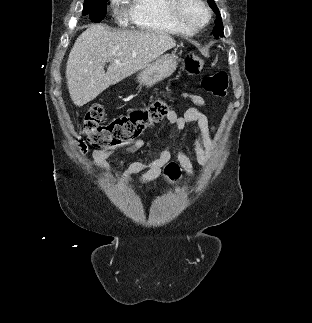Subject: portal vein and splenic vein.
Masks as SVG:
<instances>
[{"mask_svg":"<svg viewBox=\"0 0 312 323\" xmlns=\"http://www.w3.org/2000/svg\"><path fill=\"white\" fill-rule=\"evenodd\" d=\"M115 64H120V60H114Z\"/></svg>","mask_w":312,"mask_h":323,"instance_id":"portal-vein-and-splenic-vein-1","label":"portal vein and splenic vein"}]
</instances>
